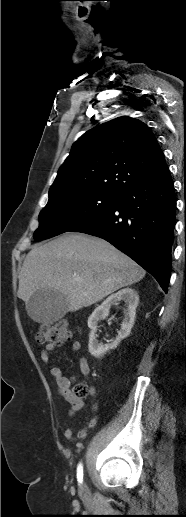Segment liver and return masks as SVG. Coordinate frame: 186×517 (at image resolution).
I'll return each mask as SVG.
<instances>
[{"label":"liver","mask_w":186,"mask_h":517,"mask_svg":"<svg viewBox=\"0 0 186 517\" xmlns=\"http://www.w3.org/2000/svg\"><path fill=\"white\" fill-rule=\"evenodd\" d=\"M145 270L107 241L67 233L27 254L17 295L26 304L41 289L66 296L68 311L88 307L145 276Z\"/></svg>","instance_id":"obj_1"}]
</instances>
